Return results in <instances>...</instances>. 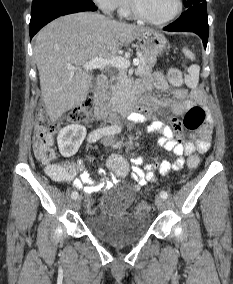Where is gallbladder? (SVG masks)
<instances>
[{
    "label": "gallbladder",
    "instance_id": "1",
    "mask_svg": "<svg viewBox=\"0 0 233 284\" xmlns=\"http://www.w3.org/2000/svg\"><path fill=\"white\" fill-rule=\"evenodd\" d=\"M90 89H91V91L95 90V85L93 83L91 84Z\"/></svg>",
    "mask_w": 233,
    "mask_h": 284
}]
</instances>
